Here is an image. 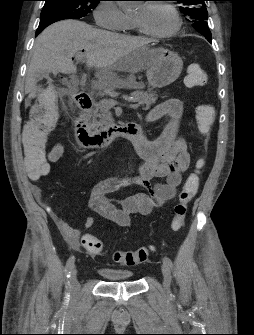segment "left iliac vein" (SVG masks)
<instances>
[{
	"label": "left iliac vein",
	"mask_w": 254,
	"mask_h": 335,
	"mask_svg": "<svg viewBox=\"0 0 254 335\" xmlns=\"http://www.w3.org/2000/svg\"><path fill=\"white\" fill-rule=\"evenodd\" d=\"M162 275H163V286L166 291H169L170 289V284H171V274L169 271V268L163 264L162 265Z\"/></svg>",
	"instance_id": "1"
}]
</instances>
